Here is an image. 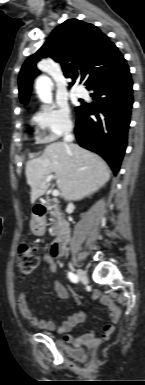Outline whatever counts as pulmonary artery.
<instances>
[{"label": "pulmonary artery", "mask_w": 145, "mask_h": 385, "mask_svg": "<svg viewBox=\"0 0 145 385\" xmlns=\"http://www.w3.org/2000/svg\"><path fill=\"white\" fill-rule=\"evenodd\" d=\"M75 94L78 97H84L86 95V90L83 87L78 86L75 88Z\"/></svg>", "instance_id": "pulmonary-artery-1"}]
</instances>
